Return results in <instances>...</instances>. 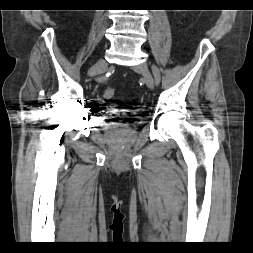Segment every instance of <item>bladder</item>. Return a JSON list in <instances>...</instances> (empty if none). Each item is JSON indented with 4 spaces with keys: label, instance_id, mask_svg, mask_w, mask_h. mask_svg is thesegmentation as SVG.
<instances>
[{
    "label": "bladder",
    "instance_id": "31cf9c89",
    "mask_svg": "<svg viewBox=\"0 0 253 253\" xmlns=\"http://www.w3.org/2000/svg\"><path fill=\"white\" fill-rule=\"evenodd\" d=\"M129 126V123H124V124H118L117 127L120 128V127H128Z\"/></svg>",
    "mask_w": 253,
    "mask_h": 253
}]
</instances>
